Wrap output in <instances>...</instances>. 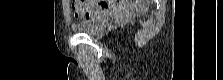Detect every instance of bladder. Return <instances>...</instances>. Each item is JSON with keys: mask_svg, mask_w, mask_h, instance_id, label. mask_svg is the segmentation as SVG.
<instances>
[{"mask_svg": "<svg viewBox=\"0 0 223 80\" xmlns=\"http://www.w3.org/2000/svg\"><path fill=\"white\" fill-rule=\"evenodd\" d=\"M111 16L109 14H102L100 16L92 17L75 23L72 28L75 32L86 35H97L102 32L108 25Z\"/></svg>", "mask_w": 223, "mask_h": 80, "instance_id": "obj_1", "label": "bladder"}]
</instances>
